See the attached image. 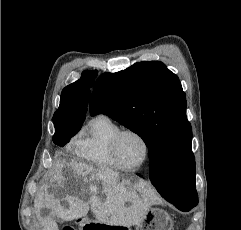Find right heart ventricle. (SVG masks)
<instances>
[{
  "mask_svg": "<svg viewBox=\"0 0 241 230\" xmlns=\"http://www.w3.org/2000/svg\"><path fill=\"white\" fill-rule=\"evenodd\" d=\"M119 129V125L108 115L93 117L76 146L78 157L93 164L117 167L111 156L110 143Z\"/></svg>",
  "mask_w": 241,
  "mask_h": 230,
  "instance_id": "right-heart-ventricle-1",
  "label": "right heart ventricle"
}]
</instances>
